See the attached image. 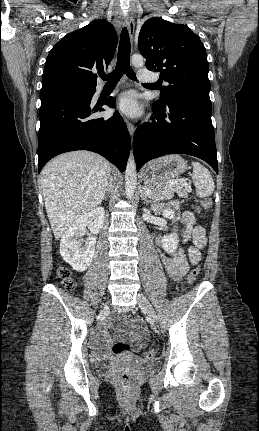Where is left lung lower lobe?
Here are the masks:
<instances>
[{
  "label": "left lung lower lobe",
  "instance_id": "left-lung-lower-lobe-1",
  "mask_svg": "<svg viewBox=\"0 0 259 431\" xmlns=\"http://www.w3.org/2000/svg\"><path fill=\"white\" fill-rule=\"evenodd\" d=\"M155 118L140 125L134 136L137 170L166 154H188L206 161L218 174L211 101L176 96L156 101Z\"/></svg>",
  "mask_w": 259,
  "mask_h": 431
}]
</instances>
